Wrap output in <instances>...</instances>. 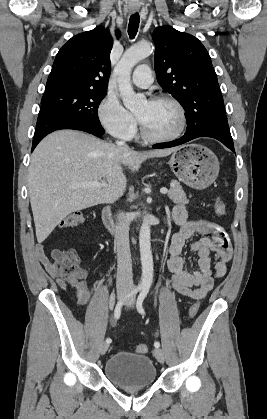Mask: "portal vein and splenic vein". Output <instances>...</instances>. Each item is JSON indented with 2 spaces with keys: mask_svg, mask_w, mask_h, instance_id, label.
<instances>
[{
  "mask_svg": "<svg viewBox=\"0 0 267 419\" xmlns=\"http://www.w3.org/2000/svg\"><path fill=\"white\" fill-rule=\"evenodd\" d=\"M80 186H83V187H93V188H101V187L107 186V184L103 180L101 182H97V181L83 182V183L80 184ZM160 192H161V194H167L168 193V189L167 188H161L160 189Z\"/></svg>",
  "mask_w": 267,
  "mask_h": 419,
  "instance_id": "obj_1",
  "label": "portal vein and splenic vein"
}]
</instances>
